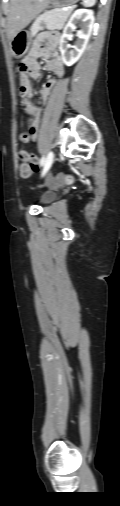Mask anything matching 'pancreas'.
I'll return each mask as SVG.
<instances>
[{"label": "pancreas", "mask_w": 120, "mask_h": 506, "mask_svg": "<svg viewBox=\"0 0 120 506\" xmlns=\"http://www.w3.org/2000/svg\"><path fill=\"white\" fill-rule=\"evenodd\" d=\"M71 14V10H63L59 8H55L53 10L47 11L43 16L42 20L37 22L32 26L31 32L35 35L38 31L43 29V26L40 24H45V27L48 30H61L64 27L65 22Z\"/></svg>", "instance_id": "obj_1"}]
</instances>
